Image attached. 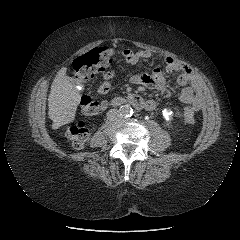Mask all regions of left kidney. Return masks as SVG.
I'll return each mask as SVG.
<instances>
[{"label": "left kidney", "mask_w": 240, "mask_h": 240, "mask_svg": "<svg viewBox=\"0 0 240 240\" xmlns=\"http://www.w3.org/2000/svg\"><path fill=\"white\" fill-rule=\"evenodd\" d=\"M163 116H164V118L166 119V120H169L170 119V117H169V111L168 110H164L163 111ZM168 125V124H167Z\"/></svg>", "instance_id": "obj_1"}]
</instances>
